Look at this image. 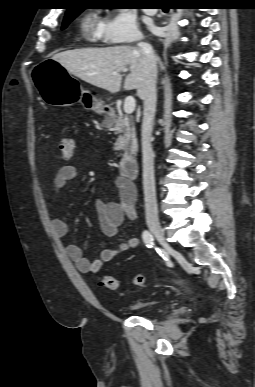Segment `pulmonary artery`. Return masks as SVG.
<instances>
[{"label": "pulmonary artery", "instance_id": "obj_1", "mask_svg": "<svg viewBox=\"0 0 255 387\" xmlns=\"http://www.w3.org/2000/svg\"><path fill=\"white\" fill-rule=\"evenodd\" d=\"M145 12L149 15H154L157 12V10L156 9H146Z\"/></svg>", "mask_w": 255, "mask_h": 387}]
</instances>
